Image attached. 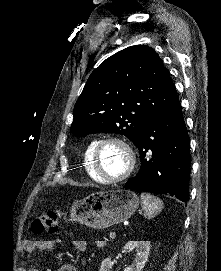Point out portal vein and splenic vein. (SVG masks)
Here are the masks:
<instances>
[{
    "label": "portal vein and splenic vein",
    "instance_id": "obj_1",
    "mask_svg": "<svg viewBox=\"0 0 221 271\" xmlns=\"http://www.w3.org/2000/svg\"><path fill=\"white\" fill-rule=\"evenodd\" d=\"M116 233H114V231H111V233H110V236H109V239L110 240H115L116 239Z\"/></svg>",
    "mask_w": 221,
    "mask_h": 271
}]
</instances>
